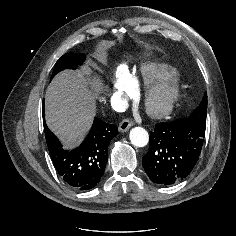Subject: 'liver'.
Instances as JSON below:
<instances>
[{"label":"liver","instance_id":"6515ba94","mask_svg":"<svg viewBox=\"0 0 236 236\" xmlns=\"http://www.w3.org/2000/svg\"><path fill=\"white\" fill-rule=\"evenodd\" d=\"M100 89L99 79L88 71H64L48 86L46 123L66 145H74L88 132L96 112V94L93 91Z\"/></svg>","mask_w":236,"mask_h":236}]
</instances>
